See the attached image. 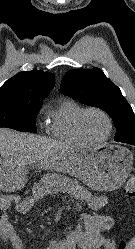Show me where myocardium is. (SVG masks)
<instances>
[{
  "instance_id": "1",
  "label": "myocardium",
  "mask_w": 135,
  "mask_h": 249,
  "mask_svg": "<svg viewBox=\"0 0 135 249\" xmlns=\"http://www.w3.org/2000/svg\"><path fill=\"white\" fill-rule=\"evenodd\" d=\"M90 112L99 113L100 115H102L106 119V121L108 123V132H107L106 136L100 140L91 139L90 137L87 136V134L85 132L83 121H84V118L86 117V115ZM77 129H78L80 135L85 139L87 144H101V143L106 142L110 138L112 131H113V122H112L110 115L106 111H104L103 109H101L99 107L91 106V107L84 108L80 112V114L78 115V117H77Z\"/></svg>"
}]
</instances>
